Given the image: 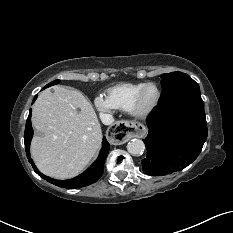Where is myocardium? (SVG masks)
<instances>
[{"label": "myocardium", "instance_id": "f54148a6", "mask_svg": "<svg viewBox=\"0 0 233 233\" xmlns=\"http://www.w3.org/2000/svg\"><path fill=\"white\" fill-rule=\"evenodd\" d=\"M149 86H152L156 89L157 97H156L155 101L150 106L143 107L142 103H141L142 96H143L144 90ZM160 99H161V90H160L159 86L153 82L145 83L136 93V95L131 103L129 111L135 117L145 118L158 106Z\"/></svg>", "mask_w": 233, "mask_h": 233}]
</instances>
